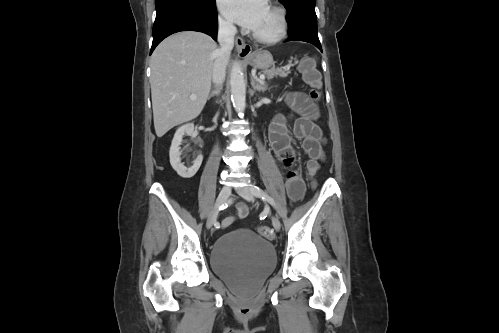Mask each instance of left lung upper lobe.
Here are the masks:
<instances>
[{"label": "left lung upper lobe", "mask_w": 499, "mask_h": 333, "mask_svg": "<svg viewBox=\"0 0 499 333\" xmlns=\"http://www.w3.org/2000/svg\"><path fill=\"white\" fill-rule=\"evenodd\" d=\"M286 9L295 5H311L315 6L316 0H279Z\"/></svg>", "instance_id": "obj_1"}]
</instances>
